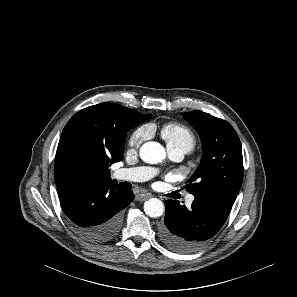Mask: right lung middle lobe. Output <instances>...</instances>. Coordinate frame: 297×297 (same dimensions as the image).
Wrapping results in <instances>:
<instances>
[{"instance_id":"obj_1","label":"right lung middle lobe","mask_w":297,"mask_h":297,"mask_svg":"<svg viewBox=\"0 0 297 297\" xmlns=\"http://www.w3.org/2000/svg\"><path fill=\"white\" fill-rule=\"evenodd\" d=\"M142 122H143L142 120H136V121L132 122L130 124V129L134 128L135 126L139 125Z\"/></svg>"}]
</instances>
